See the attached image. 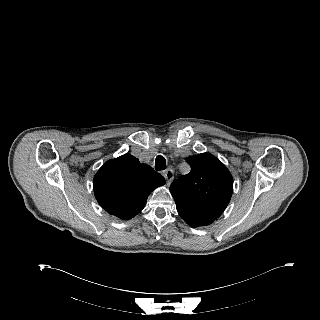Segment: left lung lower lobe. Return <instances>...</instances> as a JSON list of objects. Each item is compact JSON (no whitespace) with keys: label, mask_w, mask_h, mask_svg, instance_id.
I'll return each instance as SVG.
<instances>
[{"label":"left lung lower lobe","mask_w":320,"mask_h":320,"mask_svg":"<svg viewBox=\"0 0 320 320\" xmlns=\"http://www.w3.org/2000/svg\"><path fill=\"white\" fill-rule=\"evenodd\" d=\"M176 208L182 219L192 227L209 225L218 218L215 216L201 213L181 204H176Z\"/></svg>","instance_id":"0a47b994"}]
</instances>
